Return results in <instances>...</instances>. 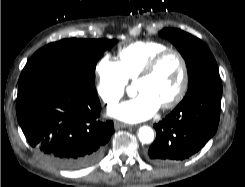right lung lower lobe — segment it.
Here are the masks:
<instances>
[{"mask_svg": "<svg viewBox=\"0 0 245 187\" xmlns=\"http://www.w3.org/2000/svg\"><path fill=\"white\" fill-rule=\"evenodd\" d=\"M95 91L54 78L22 84L16 113L30 145L49 163L68 170L85 168L102 155L114 132L100 122Z\"/></svg>", "mask_w": 245, "mask_h": 187, "instance_id": "right-lung-lower-lobe-1", "label": "right lung lower lobe"}]
</instances>
